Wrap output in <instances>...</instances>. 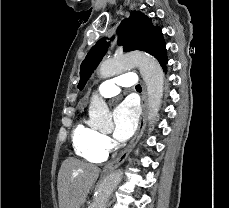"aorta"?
<instances>
[{"label":"aorta","mask_w":229,"mask_h":208,"mask_svg":"<svg viewBox=\"0 0 229 208\" xmlns=\"http://www.w3.org/2000/svg\"><path fill=\"white\" fill-rule=\"evenodd\" d=\"M137 66L147 86L148 120L153 123L161 106L164 91V73L156 59L143 53H131L120 58L102 61L98 67L101 78H108ZM91 126L105 130L112 125V117L105 101L94 94L89 107ZM122 170L110 173L99 185L93 208H107L109 197L121 182Z\"/></svg>","instance_id":"1"}]
</instances>
